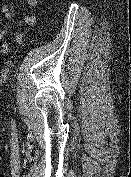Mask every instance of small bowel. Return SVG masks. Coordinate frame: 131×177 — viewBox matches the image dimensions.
<instances>
[{
    "label": "small bowel",
    "instance_id": "obj_1",
    "mask_svg": "<svg viewBox=\"0 0 131 177\" xmlns=\"http://www.w3.org/2000/svg\"><path fill=\"white\" fill-rule=\"evenodd\" d=\"M26 1H27L28 6L31 9H37V6H38V1L37 0H26ZM1 12H2V16L5 19H10L11 18V12H10V9H9L6 2H4L2 4ZM24 21L27 25L34 26L37 23V18L34 14L28 13V14L24 15ZM9 33H10V31L7 30V29H0V40H2ZM14 36L17 39H20L19 35L15 34V33H14ZM10 52H11V47L7 43H3L0 46V54L7 55Z\"/></svg>",
    "mask_w": 131,
    "mask_h": 177
}]
</instances>
